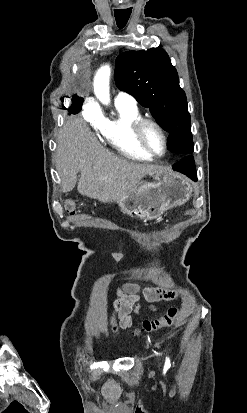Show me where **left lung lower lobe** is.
I'll list each match as a JSON object with an SVG mask.
<instances>
[{
  "label": "left lung lower lobe",
  "mask_w": 247,
  "mask_h": 413,
  "mask_svg": "<svg viewBox=\"0 0 247 413\" xmlns=\"http://www.w3.org/2000/svg\"><path fill=\"white\" fill-rule=\"evenodd\" d=\"M172 168L186 174L190 179L197 181L195 162L192 155H183L182 159L174 164Z\"/></svg>",
  "instance_id": "left-lung-lower-lobe-1"
}]
</instances>
